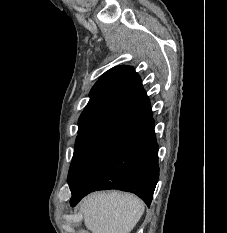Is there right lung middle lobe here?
I'll return each instance as SVG.
<instances>
[{
    "label": "right lung middle lobe",
    "instance_id": "dd1d6c3e",
    "mask_svg": "<svg viewBox=\"0 0 227 233\" xmlns=\"http://www.w3.org/2000/svg\"><path fill=\"white\" fill-rule=\"evenodd\" d=\"M119 136L107 133H79L68 174L70 189L75 187L97 157Z\"/></svg>",
    "mask_w": 227,
    "mask_h": 233
}]
</instances>
